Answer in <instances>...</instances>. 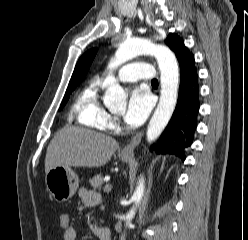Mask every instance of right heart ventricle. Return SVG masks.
Masks as SVG:
<instances>
[{"label":"right heart ventricle","instance_id":"1","mask_svg":"<svg viewBox=\"0 0 248 240\" xmlns=\"http://www.w3.org/2000/svg\"><path fill=\"white\" fill-rule=\"evenodd\" d=\"M100 84L94 80L88 83L77 96L73 104V112L79 124L101 129L107 114L99 100Z\"/></svg>","mask_w":248,"mask_h":240}]
</instances>
